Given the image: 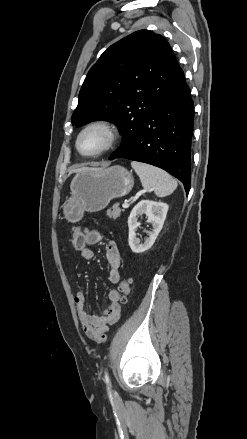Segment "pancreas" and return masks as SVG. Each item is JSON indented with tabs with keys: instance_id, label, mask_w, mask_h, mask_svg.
<instances>
[{
	"instance_id": "obj_1",
	"label": "pancreas",
	"mask_w": 247,
	"mask_h": 439,
	"mask_svg": "<svg viewBox=\"0 0 247 439\" xmlns=\"http://www.w3.org/2000/svg\"><path fill=\"white\" fill-rule=\"evenodd\" d=\"M124 211L119 208V204H114L111 209L107 210V215L111 219H117L120 217L121 212Z\"/></svg>"
}]
</instances>
